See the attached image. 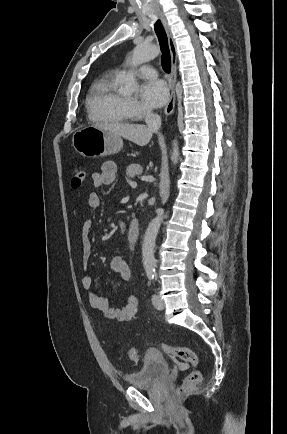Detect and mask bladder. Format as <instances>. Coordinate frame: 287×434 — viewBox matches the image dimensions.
Here are the masks:
<instances>
[{
    "label": "bladder",
    "instance_id": "bladder-1",
    "mask_svg": "<svg viewBox=\"0 0 287 434\" xmlns=\"http://www.w3.org/2000/svg\"><path fill=\"white\" fill-rule=\"evenodd\" d=\"M170 371L169 362L160 352L149 351L138 369L125 377V383L132 387H146L155 384Z\"/></svg>",
    "mask_w": 287,
    "mask_h": 434
}]
</instances>
